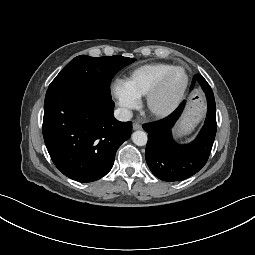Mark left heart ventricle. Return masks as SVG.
I'll list each match as a JSON object with an SVG mask.
<instances>
[{"instance_id": "left-heart-ventricle-1", "label": "left heart ventricle", "mask_w": 255, "mask_h": 255, "mask_svg": "<svg viewBox=\"0 0 255 255\" xmlns=\"http://www.w3.org/2000/svg\"><path fill=\"white\" fill-rule=\"evenodd\" d=\"M185 81V74L181 70H177L172 74L167 85L158 99L159 106H166L178 93Z\"/></svg>"}]
</instances>
